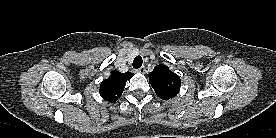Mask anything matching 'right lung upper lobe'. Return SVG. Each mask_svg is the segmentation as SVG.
Masks as SVG:
<instances>
[{
    "label": "right lung upper lobe",
    "instance_id": "cb5924a9",
    "mask_svg": "<svg viewBox=\"0 0 276 138\" xmlns=\"http://www.w3.org/2000/svg\"><path fill=\"white\" fill-rule=\"evenodd\" d=\"M133 76V73L111 71L109 78L103 80L100 85V95L109 102H115L120 98L127 80Z\"/></svg>",
    "mask_w": 276,
    "mask_h": 138
}]
</instances>
